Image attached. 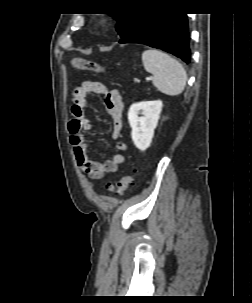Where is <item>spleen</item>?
<instances>
[{
  "label": "spleen",
  "mask_w": 252,
  "mask_h": 303,
  "mask_svg": "<svg viewBox=\"0 0 252 303\" xmlns=\"http://www.w3.org/2000/svg\"><path fill=\"white\" fill-rule=\"evenodd\" d=\"M142 61L145 70L153 75V85L160 92L169 96L183 92L187 74L176 59L157 49H148L143 52Z\"/></svg>",
  "instance_id": "3e777b00"
}]
</instances>
